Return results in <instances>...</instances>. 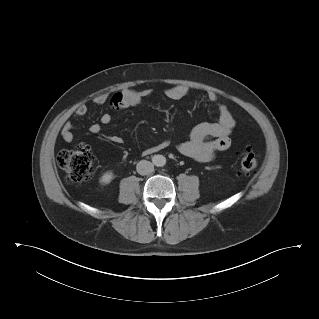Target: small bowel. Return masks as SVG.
<instances>
[{"mask_svg": "<svg viewBox=\"0 0 319 319\" xmlns=\"http://www.w3.org/2000/svg\"><path fill=\"white\" fill-rule=\"evenodd\" d=\"M187 93L188 88L184 85H174L165 91L166 96L171 100H180ZM120 95L122 97V108H128L140 104L151 95V91L149 89H127ZM207 98L210 102L217 103L218 120L196 125L191 130L189 138L177 145V150L180 154L199 162L212 161L217 153L228 149L230 146L229 135L235 127V119L229 108L225 104L218 102V95L213 91H209ZM93 102L96 106H104L109 102V95L105 93L99 94L94 98ZM87 111V106L81 104L76 109L75 115L77 118H82ZM111 121L112 116L109 113H104L101 115L99 123L92 124L89 127V131L95 135L102 134L103 126L110 124ZM74 128L73 123L70 121L64 124L61 130V137L65 142L71 143L74 140ZM105 138L114 144H121L123 141L118 135H107ZM168 145V141H162L146 148L143 153L146 155L152 154L167 148Z\"/></svg>", "mask_w": 319, "mask_h": 319, "instance_id": "obj_1", "label": "small bowel"}]
</instances>
